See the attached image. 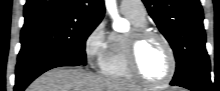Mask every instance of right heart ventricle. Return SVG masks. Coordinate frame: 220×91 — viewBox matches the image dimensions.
I'll use <instances>...</instances> for the list:
<instances>
[{
  "label": "right heart ventricle",
  "mask_w": 220,
  "mask_h": 91,
  "mask_svg": "<svg viewBox=\"0 0 220 91\" xmlns=\"http://www.w3.org/2000/svg\"><path fill=\"white\" fill-rule=\"evenodd\" d=\"M127 18L135 28H144L146 26V21L140 22L130 16H127ZM101 73L104 76L120 81L131 82L134 80L127 65L125 35H111L109 51L101 67Z\"/></svg>",
  "instance_id": "obj_1"
}]
</instances>
